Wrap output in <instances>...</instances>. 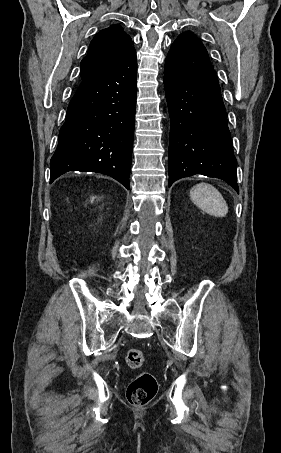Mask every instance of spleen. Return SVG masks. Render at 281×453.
Wrapping results in <instances>:
<instances>
[{
    "label": "spleen",
    "mask_w": 281,
    "mask_h": 453,
    "mask_svg": "<svg viewBox=\"0 0 281 453\" xmlns=\"http://www.w3.org/2000/svg\"><path fill=\"white\" fill-rule=\"evenodd\" d=\"M195 190L199 192L196 194ZM190 198L196 206L205 210L207 214L212 216H225L228 212L226 200H224L221 192L207 182H200L190 190Z\"/></svg>",
    "instance_id": "3e777b00"
}]
</instances>
